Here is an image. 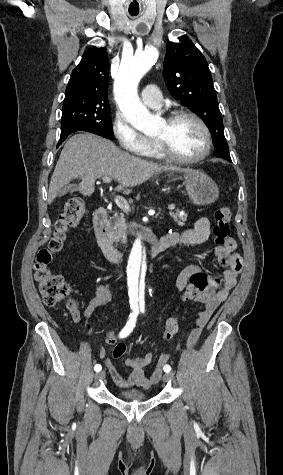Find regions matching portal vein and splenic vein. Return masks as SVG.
<instances>
[{
  "label": "portal vein and splenic vein",
  "mask_w": 283,
  "mask_h": 475,
  "mask_svg": "<svg viewBox=\"0 0 283 475\" xmlns=\"http://www.w3.org/2000/svg\"><path fill=\"white\" fill-rule=\"evenodd\" d=\"M102 180H103V184H110V182H111V178H107V176H104V178H102ZM115 202H116L117 206H121L120 196H116ZM124 210H125V212H128V210H129L128 204H124ZM168 210H175V204H170V206H168Z\"/></svg>",
  "instance_id": "portal-vein-and-splenic-vein-1"
}]
</instances>
